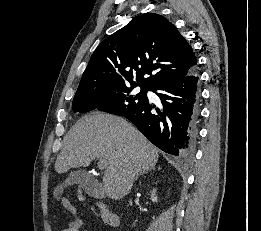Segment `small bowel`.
I'll return each mask as SVG.
<instances>
[{
    "label": "small bowel",
    "mask_w": 261,
    "mask_h": 231,
    "mask_svg": "<svg viewBox=\"0 0 261 231\" xmlns=\"http://www.w3.org/2000/svg\"><path fill=\"white\" fill-rule=\"evenodd\" d=\"M59 203L66 212L73 214V215L76 214V209L69 198L61 197L59 199ZM82 225H83V221L79 218H76L73 221H71L68 224V227L65 228L63 231H81Z\"/></svg>",
    "instance_id": "c3829d8e"
}]
</instances>
